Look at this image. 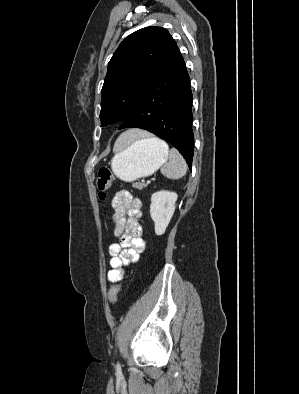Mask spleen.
<instances>
[{
    "mask_svg": "<svg viewBox=\"0 0 299 394\" xmlns=\"http://www.w3.org/2000/svg\"><path fill=\"white\" fill-rule=\"evenodd\" d=\"M122 140V135L119 141ZM153 144H158L164 146L168 149V145L157 138H148L146 139ZM187 171V164L183 156L179 153V151L175 148H172L169 152V162L164 164L161 168V173L169 179H180L182 178Z\"/></svg>",
    "mask_w": 299,
    "mask_h": 394,
    "instance_id": "1",
    "label": "spleen"
}]
</instances>
